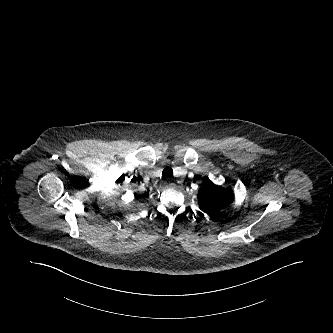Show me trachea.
Returning a JSON list of instances; mask_svg holds the SVG:
<instances>
[{"mask_svg": "<svg viewBox=\"0 0 333 333\" xmlns=\"http://www.w3.org/2000/svg\"><path fill=\"white\" fill-rule=\"evenodd\" d=\"M162 178H173V170L170 167H166L162 172Z\"/></svg>", "mask_w": 333, "mask_h": 333, "instance_id": "obj_1", "label": "trachea"}]
</instances>
